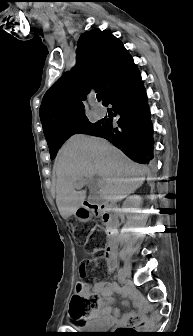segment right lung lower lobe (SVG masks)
I'll return each mask as SVG.
<instances>
[{
  "instance_id": "right-lung-lower-lobe-1",
  "label": "right lung lower lobe",
  "mask_w": 193,
  "mask_h": 336,
  "mask_svg": "<svg viewBox=\"0 0 193 336\" xmlns=\"http://www.w3.org/2000/svg\"><path fill=\"white\" fill-rule=\"evenodd\" d=\"M103 104H111L117 126L103 119L101 127L90 135L103 137L121 149L133 161L148 164L153 158L152 124L140 73L132 62L115 82Z\"/></svg>"
}]
</instances>
